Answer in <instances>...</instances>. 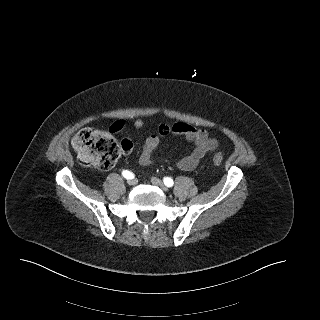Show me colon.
<instances>
[{
	"mask_svg": "<svg viewBox=\"0 0 320 320\" xmlns=\"http://www.w3.org/2000/svg\"><path fill=\"white\" fill-rule=\"evenodd\" d=\"M118 128V125L113 124L110 132L114 133ZM111 133L85 128L75 134L72 143L85 163L107 170L116 163L122 151L128 152L132 148L129 140L119 142ZM212 160L216 166H220L223 156L217 152Z\"/></svg>",
	"mask_w": 320,
	"mask_h": 320,
	"instance_id": "1",
	"label": "colon"
}]
</instances>
